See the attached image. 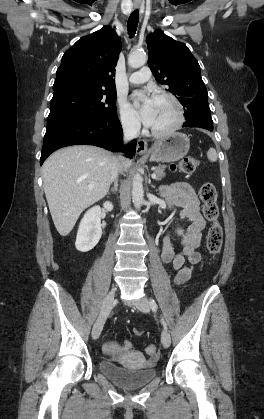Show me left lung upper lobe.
<instances>
[{
    "label": "left lung upper lobe",
    "mask_w": 264,
    "mask_h": 419,
    "mask_svg": "<svg viewBox=\"0 0 264 419\" xmlns=\"http://www.w3.org/2000/svg\"><path fill=\"white\" fill-rule=\"evenodd\" d=\"M148 65L160 84L169 87L186 109H199L207 103V89L201 78L200 66L189 48L156 30L146 38Z\"/></svg>",
    "instance_id": "left-lung-upper-lobe-1"
}]
</instances>
